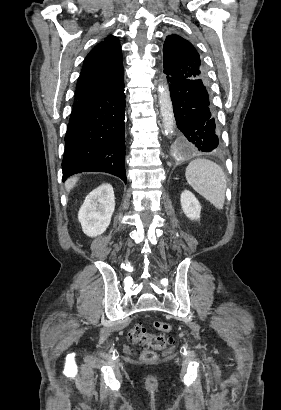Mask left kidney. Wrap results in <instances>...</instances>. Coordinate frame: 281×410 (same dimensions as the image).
<instances>
[{
    "label": "left kidney",
    "mask_w": 281,
    "mask_h": 410,
    "mask_svg": "<svg viewBox=\"0 0 281 410\" xmlns=\"http://www.w3.org/2000/svg\"><path fill=\"white\" fill-rule=\"evenodd\" d=\"M181 206L185 215L191 220L200 218L201 205L197 198L189 190H185L180 198Z\"/></svg>",
    "instance_id": "5707ae66"
}]
</instances>
